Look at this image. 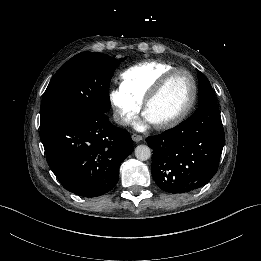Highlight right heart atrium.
I'll list each match as a JSON object with an SVG mask.
<instances>
[{"mask_svg": "<svg viewBox=\"0 0 261 261\" xmlns=\"http://www.w3.org/2000/svg\"><path fill=\"white\" fill-rule=\"evenodd\" d=\"M108 97L116 121L122 126L132 125L140 113L141 103L121 87L112 89Z\"/></svg>", "mask_w": 261, "mask_h": 261, "instance_id": "right-heart-atrium-1", "label": "right heart atrium"}]
</instances>
